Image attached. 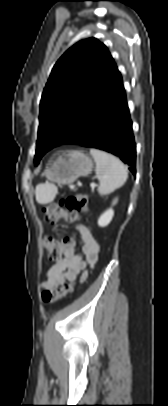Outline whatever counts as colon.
<instances>
[{"instance_id":"colon-1","label":"colon","mask_w":168,"mask_h":406,"mask_svg":"<svg viewBox=\"0 0 168 406\" xmlns=\"http://www.w3.org/2000/svg\"><path fill=\"white\" fill-rule=\"evenodd\" d=\"M87 198L84 195H71L43 210V221L47 224H54L59 221H73L79 218L80 214L87 213ZM65 240L47 237L45 239V249L50 260L59 258L66 245ZM74 283H64L57 290L46 289L42 293V300L46 304L54 303L73 291Z\"/></svg>"}]
</instances>
